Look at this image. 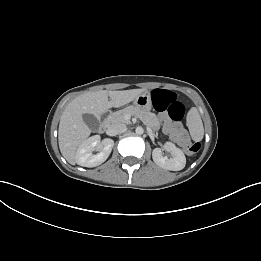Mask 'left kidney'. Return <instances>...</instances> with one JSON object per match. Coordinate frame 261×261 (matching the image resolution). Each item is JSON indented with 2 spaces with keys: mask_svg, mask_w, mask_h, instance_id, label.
Returning <instances> with one entry per match:
<instances>
[{
  "mask_svg": "<svg viewBox=\"0 0 261 261\" xmlns=\"http://www.w3.org/2000/svg\"><path fill=\"white\" fill-rule=\"evenodd\" d=\"M167 147L173 153V158H167L162 155L160 148H155L152 152L153 161L161 168L179 171L182 170L186 165V157L181 149L176 147L173 143H166Z\"/></svg>",
  "mask_w": 261,
  "mask_h": 261,
  "instance_id": "1",
  "label": "left kidney"
}]
</instances>
